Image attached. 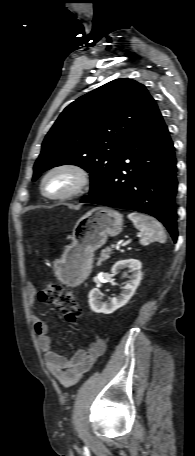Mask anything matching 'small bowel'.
I'll use <instances>...</instances> for the list:
<instances>
[{"instance_id":"c3829d8e","label":"small bowel","mask_w":195,"mask_h":456,"mask_svg":"<svg viewBox=\"0 0 195 456\" xmlns=\"http://www.w3.org/2000/svg\"><path fill=\"white\" fill-rule=\"evenodd\" d=\"M26 292L28 302L32 306L36 295L34 285L28 284ZM32 322L38 345L44 353L47 369L66 388L78 383L106 350L105 341L98 338L89 345L88 349L78 350L68 359L53 350L52 340L48 334L49 322L35 315H32Z\"/></svg>"}]
</instances>
